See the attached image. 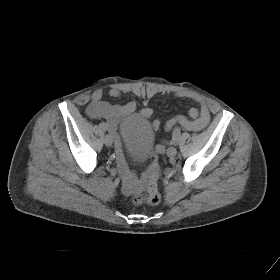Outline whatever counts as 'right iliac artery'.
I'll return each instance as SVG.
<instances>
[{
	"label": "right iliac artery",
	"instance_id": "82829eb1",
	"mask_svg": "<svg viewBox=\"0 0 280 280\" xmlns=\"http://www.w3.org/2000/svg\"><path fill=\"white\" fill-rule=\"evenodd\" d=\"M99 126H100V128H101L103 131H106V130H107V124L104 123V122L100 123Z\"/></svg>",
	"mask_w": 280,
	"mask_h": 280
}]
</instances>
